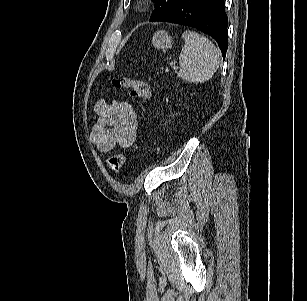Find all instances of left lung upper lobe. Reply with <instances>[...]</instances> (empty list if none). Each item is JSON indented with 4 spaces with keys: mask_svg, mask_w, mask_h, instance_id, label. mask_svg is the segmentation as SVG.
Masks as SVG:
<instances>
[{
    "mask_svg": "<svg viewBox=\"0 0 307 301\" xmlns=\"http://www.w3.org/2000/svg\"><path fill=\"white\" fill-rule=\"evenodd\" d=\"M155 1V9L151 14L150 21H157L167 14L179 0H153Z\"/></svg>",
    "mask_w": 307,
    "mask_h": 301,
    "instance_id": "1",
    "label": "left lung upper lobe"
}]
</instances>
